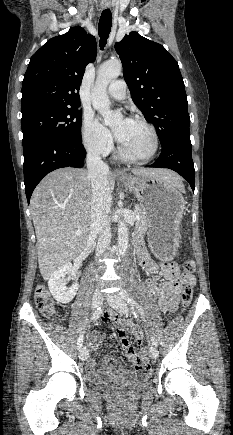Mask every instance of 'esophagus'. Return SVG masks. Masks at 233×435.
Segmentation results:
<instances>
[{"instance_id":"obj_1","label":"esophagus","mask_w":233,"mask_h":435,"mask_svg":"<svg viewBox=\"0 0 233 435\" xmlns=\"http://www.w3.org/2000/svg\"><path fill=\"white\" fill-rule=\"evenodd\" d=\"M102 9H108L110 7V1L109 0H102ZM115 173L117 175H123V172L119 169L115 170Z\"/></svg>"}]
</instances>
